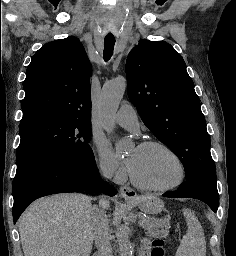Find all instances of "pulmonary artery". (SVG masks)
Listing matches in <instances>:
<instances>
[{"label":"pulmonary artery","mask_w":236,"mask_h":256,"mask_svg":"<svg viewBox=\"0 0 236 256\" xmlns=\"http://www.w3.org/2000/svg\"><path fill=\"white\" fill-rule=\"evenodd\" d=\"M117 124L131 131L138 130V116L131 106H122L114 116Z\"/></svg>","instance_id":"obj_1"}]
</instances>
